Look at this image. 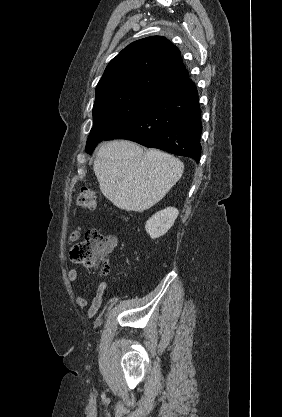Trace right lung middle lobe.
Here are the masks:
<instances>
[{
  "mask_svg": "<svg viewBox=\"0 0 282 417\" xmlns=\"http://www.w3.org/2000/svg\"><path fill=\"white\" fill-rule=\"evenodd\" d=\"M157 93L129 89L96 95L94 125L87 140L86 152L90 154L99 142L137 114Z\"/></svg>",
  "mask_w": 282,
  "mask_h": 417,
  "instance_id": "obj_1",
  "label": "right lung middle lobe"
}]
</instances>
